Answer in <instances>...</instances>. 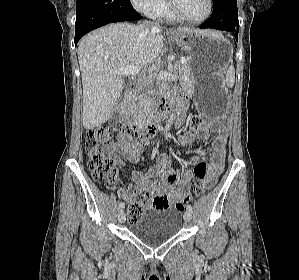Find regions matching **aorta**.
<instances>
[{
	"instance_id": "1",
	"label": "aorta",
	"mask_w": 299,
	"mask_h": 280,
	"mask_svg": "<svg viewBox=\"0 0 299 280\" xmlns=\"http://www.w3.org/2000/svg\"><path fill=\"white\" fill-rule=\"evenodd\" d=\"M173 118H174V115L171 114L170 119H169V121H168V123L166 125V129L170 128L171 124L173 123Z\"/></svg>"
}]
</instances>
